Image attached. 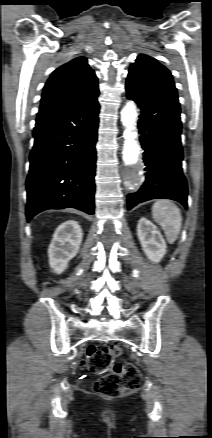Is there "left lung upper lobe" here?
I'll use <instances>...</instances> for the list:
<instances>
[{"instance_id":"5c2ea615","label":"left lung upper lobe","mask_w":212,"mask_h":438,"mask_svg":"<svg viewBox=\"0 0 212 438\" xmlns=\"http://www.w3.org/2000/svg\"><path fill=\"white\" fill-rule=\"evenodd\" d=\"M126 84L178 101L170 71L148 55L140 54L136 62L130 66Z\"/></svg>"}]
</instances>
